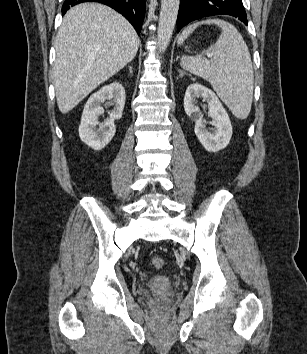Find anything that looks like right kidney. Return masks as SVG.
<instances>
[{"label": "right kidney", "mask_w": 307, "mask_h": 354, "mask_svg": "<svg viewBox=\"0 0 307 354\" xmlns=\"http://www.w3.org/2000/svg\"><path fill=\"white\" fill-rule=\"evenodd\" d=\"M107 100H111L114 109L109 114V118L104 123H100L98 118L104 113L101 105ZM124 105L125 90L119 82L106 85L92 94L84 107L79 126L81 140L94 150L103 149L115 135L114 121L122 117Z\"/></svg>", "instance_id": "obj_1"}]
</instances>
